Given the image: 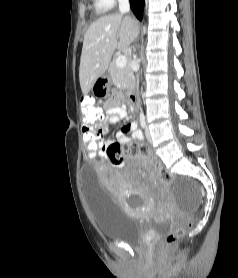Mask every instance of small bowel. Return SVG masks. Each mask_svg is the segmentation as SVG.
I'll return each mask as SVG.
<instances>
[{"instance_id":"obj_1","label":"small bowel","mask_w":238,"mask_h":278,"mask_svg":"<svg viewBox=\"0 0 238 278\" xmlns=\"http://www.w3.org/2000/svg\"><path fill=\"white\" fill-rule=\"evenodd\" d=\"M126 115L127 112L124 105H107V107L105 108V111L103 113V153H98L100 157L102 158L108 157L107 149L113 143H117L120 146H122L128 144L131 140H136V141L142 140L143 134L138 128L137 123L135 122L126 123L122 127V129L116 133L117 142H113L105 138V133L107 131V127L105 123L106 122L116 123L124 119Z\"/></svg>"}]
</instances>
